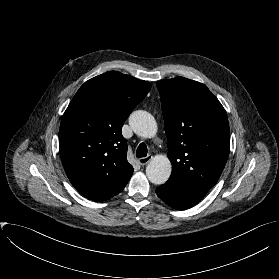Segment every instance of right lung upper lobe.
Listing matches in <instances>:
<instances>
[{
    "label": "right lung upper lobe",
    "instance_id": "cb5924a9",
    "mask_svg": "<svg viewBox=\"0 0 279 279\" xmlns=\"http://www.w3.org/2000/svg\"><path fill=\"white\" fill-rule=\"evenodd\" d=\"M151 85L116 71L85 82L63 114L59 149L72 185L100 202L121 192L133 167L127 161L123 123Z\"/></svg>",
    "mask_w": 279,
    "mask_h": 279
}]
</instances>
